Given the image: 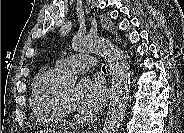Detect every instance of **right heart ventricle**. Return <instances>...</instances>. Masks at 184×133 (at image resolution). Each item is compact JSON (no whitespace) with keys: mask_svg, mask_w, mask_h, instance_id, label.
Segmentation results:
<instances>
[{"mask_svg":"<svg viewBox=\"0 0 184 133\" xmlns=\"http://www.w3.org/2000/svg\"><path fill=\"white\" fill-rule=\"evenodd\" d=\"M61 72L57 68L43 70L36 78L31 106L36 117L47 125H58L64 120V113L59 103L58 80Z\"/></svg>","mask_w":184,"mask_h":133,"instance_id":"right-heart-ventricle-1","label":"right heart ventricle"}]
</instances>
